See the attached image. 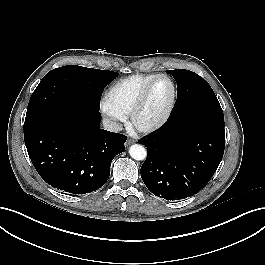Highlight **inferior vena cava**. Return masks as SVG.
Listing matches in <instances>:
<instances>
[{"label": "inferior vena cava", "mask_w": 265, "mask_h": 265, "mask_svg": "<svg viewBox=\"0 0 265 265\" xmlns=\"http://www.w3.org/2000/svg\"><path fill=\"white\" fill-rule=\"evenodd\" d=\"M103 127L105 130L111 132H119L120 130H122L121 124L107 118L103 119Z\"/></svg>", "instance_id": "602c4592"}]
</instances>
